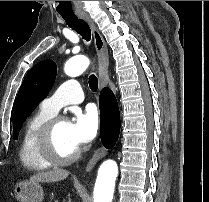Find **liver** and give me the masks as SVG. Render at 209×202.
<instances>
[{"label":"liver","mask_w":209,"mask_h":202,"mask_svg":"<svg viewBox=\"0 0 209 202\" xmlns=\"http://www.w3.org/2000/svg\"><path fill=\"white\" fill-rule=\"evenodd\" d=\"M69 171L63 169L36 173L30 177V182H57L68 177Z\"/></svg>","instance_id":"1"}]
</instances>
